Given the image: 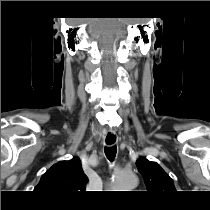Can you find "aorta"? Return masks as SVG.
<instances>
[{"mask_svg":"<svg viewBox=\"0 0 210 210\" xmlns=\"http://www.w3.org/2000/svg\"><path fill=\"white\" fill-rule=\"evenodd\" d=\"M112 182L114 189H119L120 191H130L137 186L138 179L132 172L118 170L114 173Z\"/></svg>","mask_w":210,"mask_h":210,"instance_id":"aorta-1","label":"aorta"}]
</instances>
